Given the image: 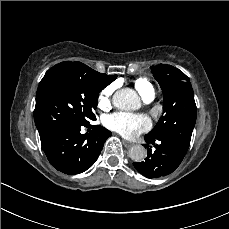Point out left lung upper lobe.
Segmentation results:
<instances>
[{
	"instance_id": "obj_1",
	"label": "left lung upper lobe",
	"mask_w": 229,
	"mask_h": 229,
	"mask_svg": "<svg viewBox=\"0 0 229 229\" xmlns=\"http://www.w3.org/2000/svg\"><path fill=\"white\" fill-rule=\"evenodd\" d=\"M150 68L163 92V115L147 136L170 138L189 147L197 116L190 80L171 65Z\"/></svg>"
}]
</instances>
